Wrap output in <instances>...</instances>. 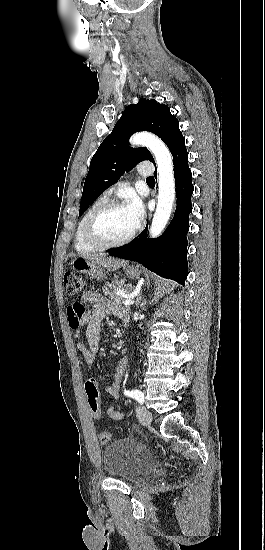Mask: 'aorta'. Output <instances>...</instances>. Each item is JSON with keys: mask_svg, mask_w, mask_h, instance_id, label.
I'll list each match as a JSON object with an SVG mask.
<instances>
[{"mask_svg": "<svg viewBox=\"0 0 265 550\" xmlns=\"http://www.w3.org/2000/svg\"><path fill=\"white\" fill-rule=\"evenodd\" d=\"M132 145H144L155 157L158 169V203L149 230L150 237H158L164 230L173 208L175 199V180L172 155L167 146L155 135L138 133L131 137Z\"/></svg>", "mask_w": 265, "mask_h": 550, "instance_id": "obj_1", "label": "aorta"}]
</instances>
